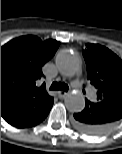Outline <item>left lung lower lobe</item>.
Segmentation results:
<instances>
[{
  "label": "left lung lower lobe",
  "mask_w": 122,
  "mask_h": 154,
  "mask_svg": "<svg viewBox=\"0 0 122 154\" xmlns=\"http://www.w3.org/2000/svg\"><path fill=\"white\" fill-rule=\"evenodd\" d=\"M85 101L84 110L74 114L73 124L86 134H103L122 118V100Z\"/></svg>",
  "instance_id": "0a47b994"
}]
</instances>
